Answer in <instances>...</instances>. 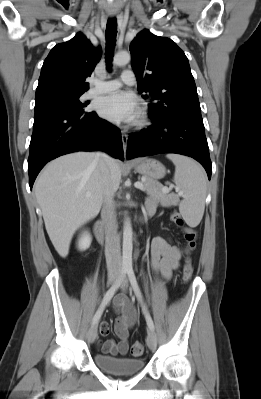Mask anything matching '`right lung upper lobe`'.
I'll use <instances>...</instances> for the list:
<instances>
[{"label": "right lung upper lobe", "instance_id": "obj_1", "mask_svg": "<svg viewBox=\"0 0 261 399\" xmlns=\"http://www.w3.org/2000/svg\"><path fill=\"white\" fill-rule=\"evenodd\" d=\"M100 56V48H94L81 33L53 47L43 63L35 101L83 94L89 88L85 79L91 75Z\"/></svg>", "mask_w": 261, "mask_h": 399}]
</instances>
